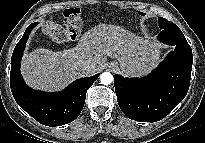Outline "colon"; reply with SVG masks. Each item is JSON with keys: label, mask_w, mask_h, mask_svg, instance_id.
<instances>
[{"label": "colon", "mask_w": 205, "mask_h": 143, "mask_svg": "<svg viewBox=\"0 0 205 143\" xmlns=\"http://www.w3.org/2000/svg\"><path fill=\"white\" fill-rule=\"evenodd\" d=\"M64 25L48 21L44 32L56 43H66L77 39L82 24L81 11L77 7L66 8L63 13Z\"/></svg>", "instance_id": "colon-1"}]
</instances>
